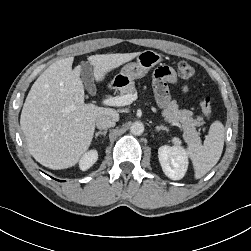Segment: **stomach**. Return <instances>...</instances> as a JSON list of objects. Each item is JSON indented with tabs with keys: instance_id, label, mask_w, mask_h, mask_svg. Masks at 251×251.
Masks as SVG:
<instances>
[{
	"instance_id": "0dacf381",
	"label": "stomach",
	"mask_w": 251,
	"mask_h": 251,
	"mask_svg": "<svg viewBox=\"0 0 251 251\" xmlns=\"http://www.w3.org/2000/svg\"><path fill=\"white\" fill-rule=\"evenodd\" d=\"M162 60L160 54L153 50H145L141 52L136 59V62H130L124 65L119 74H117L113 83L117 87H125L135 79L144 77L148 71Z\"/></svg>"
}]
</instances>
